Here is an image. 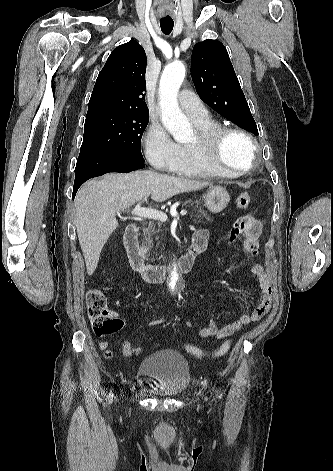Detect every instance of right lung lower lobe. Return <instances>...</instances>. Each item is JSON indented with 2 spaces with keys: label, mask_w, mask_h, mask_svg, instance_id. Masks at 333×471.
<instances>
[{
  "label": "right lung lower lobe",
  "mask_w": 333,
  "mask_h": 471,
  "mask_svg": "<svg viewBox=\"0 0 333 471\" xmlns=\"http://www.w3.org/2000/svg\"><path fill=\"white\" fill-rule=\"evenodd\" d=\"M144 161L113 152L80 153L75 168L73 196L79 187L88 179L109 172L127 173L144 168Z\"/></svg>",
  "instance_id": "obj_1"
}]
</instances>
